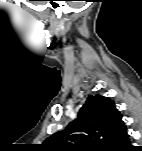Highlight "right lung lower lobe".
<instances>
[{
	"instance_id": "1",
	"label": "right lung lower lobe",
	"mask_w": 142,
	"mask_h": 151,
	"mask_svg": "<svg viewBox=\"0 0 142 151\" xmlns=\"http://www.w3.org/2000/svg\"><path fill=\"white\" fill-rule=\"evenodd\" d=\"M129 150H133V146L130 145L129 140L124 145L116 149V151H129Z\"/></svg>"
}]
</instances>
